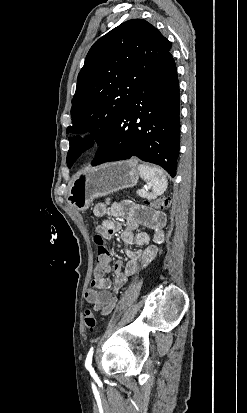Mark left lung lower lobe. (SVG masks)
Instances as JSON below:
<instances>
[{
  "label": "left lung lower lobe",
  "instance_id": "0a47b994",
  "mask_svg": "<svg viewBox=\"0 0 247 413\" xmlns=\"http://www.w3.org/2000/svg\"><path fill=\"white\" fill-rule=\"evenodd\" d=\"M179 141V82L169 51L121 112L92 166L137 157L160 165L174 177Z\"/></svg>",
  "mask_w": 247,
  "mask_h": 413
}]
</instances>
